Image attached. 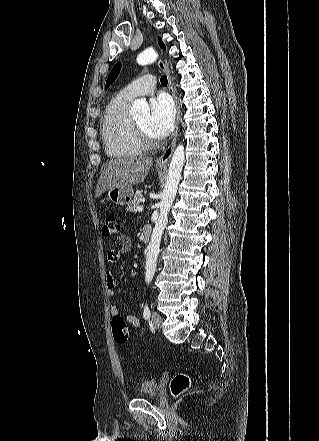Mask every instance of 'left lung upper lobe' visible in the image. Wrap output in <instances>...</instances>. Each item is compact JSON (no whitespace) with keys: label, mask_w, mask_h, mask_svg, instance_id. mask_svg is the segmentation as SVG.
I'll return each mask as SVG.
<instances>
[{"label":"left lung upper lobe","mask_w":319,"mask_h":441,"mask_svg":"<svg viewBox=\"0 0 319 441\" xmlns=\"http://www.w3.org/2000/svg\"><path fill=\"white\" fill-rule=\"evenodd\" d=\"M158 43H159V46L165 50V45L161 42V38H158ZM120 68H121V64L118 62L113 67V69L111 70V72L108 76L105 89H107L112 84V82L116 79V77L120 71Z\"/></svg>","instance_id":"obj_1"}]
</instances>
